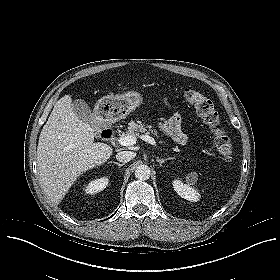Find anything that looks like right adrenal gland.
<instances>
[{"mask_svg": "<svg viewBox=\"0 0 280 280\" xmlns=\"http://www.w3.org/2000/svg\"><path fill=\"white\" fill-rule=\"evenodd\" d=\"M110 163H114V164H116V165H118L119 167H121V166H123L124 164H120L119 162H110Z\"/></svg>", "mask_w": 280, "mask_h": 280, "instance_id": "1", "label": "right adrenal gland"}]
</instances>
